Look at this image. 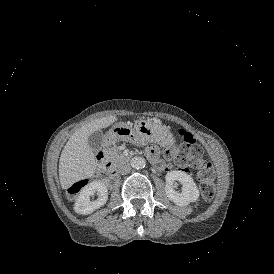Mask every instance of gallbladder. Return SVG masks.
Segmentation results:
<instances>
[{
    "instance_id": "gallbladder-1",
    "label": "gallbladder",
    "mask_w": 274,
    "mask_h": 274,
    "mask_svg": "<svg viewBox=\"0 0 274 274\" xmlns=\"http://www.w3.org/2000/svg\"><path fill=\"white\" fill-rule=\"evenodd\" d=\"M104 141L103 132L98 130L92 133L88 138V144L93 151L97 152L101 149Z\"/></svg>"
}]
</instances>
